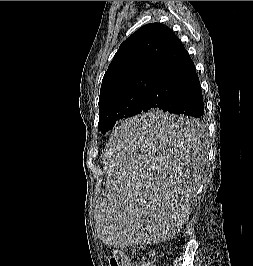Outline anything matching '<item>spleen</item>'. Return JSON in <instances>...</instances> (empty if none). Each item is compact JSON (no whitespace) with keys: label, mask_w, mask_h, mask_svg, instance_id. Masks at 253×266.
<instances>
[{"label":"spleen","mask_w":253,"mask_h":266,"mask_svg":"<svg viewBox=\"0 0 253 266\" xmlns=\"http://www.w3.org/2000/svg\"><path fill=\"white\" fill-rule=\"evenodd\" d=\"M200 123L180 111H145L120 123L106 168L110 190L97 207L105 248H164L185 229L198 187Z\"/></svg>","instance_id":"3e777b00"}]
</instances>
